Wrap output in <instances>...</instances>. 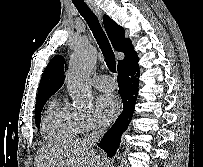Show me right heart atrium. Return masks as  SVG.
<instances>
[{
    "mask_svg": "<svg viewBox=\"0 0 203 167\" xmlns=\"http://www.w3.org/2000/svg\"><path fill=\"white\" fill-rule=\"evenodd\" d=\"M78 133L86 134L101 128L102 124L95 115L89 112L75 111Z\"/></svg>",
    "mask_w": 203,
    "mask_h": 167,
    "instance_id": "right-heart-atrium-1",
    "label": "right heart atrium"
}]
</instances>
